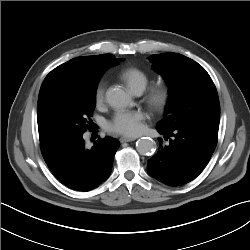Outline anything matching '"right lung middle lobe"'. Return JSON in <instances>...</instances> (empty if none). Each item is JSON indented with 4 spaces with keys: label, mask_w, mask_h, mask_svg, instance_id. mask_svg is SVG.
Wrapping results in <instances>:
<instances>
[{
    "label": "right lung middle lobe",
    "mask_w": 250,
    "mask_h": 250,
    "mask_svg": "<svg viewBox=\"0 0 250 250\" xmlns=\"http://www.w3.org/2000/svg\"><path fill=\"white\" fill-rule=\"evenodd\" d=\"M98 81L65 92L38 121L39 139L83 133L93 115Z\"/></svg>",
    "instance_id": "dd1d6c3e"
}]
</instances>
